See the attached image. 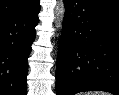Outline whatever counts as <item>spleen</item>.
Wrapping results in <instances>:
<instances>
[{
  "instance_id": "spleen-1",
  "label": "spleen",
  "mask_w": 119,
  "mask_h": 95,
  "mask_svg": "<svg viewBox=\"0 0 119 95\" xmlns=\"http://www.w3.org/2000/svg\"><path fill=\"white\" fill-rule=\"evenodd\" d=\"M78 95H109V93L102 91H95V92L79 93Z\"/></svg>"
}]
</instances>
